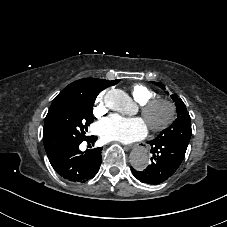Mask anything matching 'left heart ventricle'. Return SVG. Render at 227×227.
Instances as JSON below:
<instances>
[{
  "label": "left heart ventricle",
  "mask_w": 227,
  "mask_h": 227,
  "mask_svg": "<svg viewBox=\"0 0 227 227\" xmlns=\"http://www.w3.org/2000/svg\"><path fill=\"white\" fill-rule=\"evenodd\" d=\"M168 110L166 106L159 105L154 108L148 116L145 118L147 124H159L161 123L167 116Z\"/></svg>",
  "instance_id": "b2bd125f"
}]
</instances>
